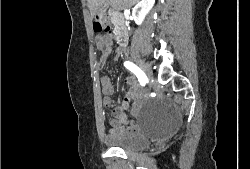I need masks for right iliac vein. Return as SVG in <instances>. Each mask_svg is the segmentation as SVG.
I'll list each match as a JSON object with an SVG mask.
<instances>
[{"instance_id":"right-iliac-vein-1","label":"right iliac vein","mask_w":250,"mask_h":169,"mask_svg":"<svg viewBox=\"0 0 250 169\" xmlns=\"http://www.w3.org/2000/svg\"><path fill=\"white\" fill-rule=\"evenodd\" d=\"M139 67L142 69V71L145 73V75L148 77V79L152 78V72L149 69V66L142 60L138 61Z\"/></svg>"}]
</instances>
